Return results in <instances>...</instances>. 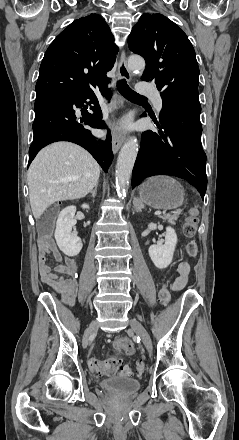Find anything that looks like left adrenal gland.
Instances as JSON below:
<instances>
[{"label": "left adrenal gland", "instance_id": "a2214340", "mask_svg": "<svg viewBox=\"0 0 239 440\" xmlns=\"http://www.w3.org/2000/svg\"><path fill=\"white\" fill-rule=\"evenodd\" d=\"M135 210L136 212H141V208H143L142 204L140 202H134Z\"/></svg>", "mask_w": 239, "mask_h": 440}]
</instances>
